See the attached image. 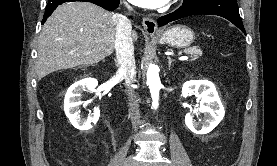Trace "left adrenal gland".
<instances>
[{
  "instance_id": "a2214340",
  "label": "left adrenal gland",
  "mask_w": 277,
  "mask_h": 166,
  "mask_svg": "<svg viewBox=\"0 0 277 166\" xmlns=\"http://www.w3.org/2000/svg\"><path fill=\"white\" fill-rule=\"evenodd\" d=\"M167 59H168V67L170 68L171 67V63H172L173 60L169 56L167 57Z\"/></svg>"
}]
</instances>
